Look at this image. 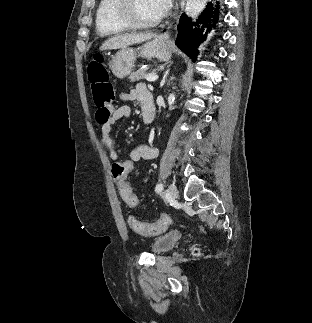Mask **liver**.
I'll return each instance as SVG.
<instances>
[{
	"mask_svg": "<svg viewBox=\"0 0 312 323\" xmlns=\"http://www.w3.org/2000/svg\"><path fill=\"white\" fill-rule=\"evenodd\" d=\"M155 38V34H117L113 38H108L102 46H100L101 52L103 50H118V48H126L131 44H141L146 40H152Z\"/></svg>",
	"mask_w": 312,
	"mask_h": 323,
	"instance_id": "6515ba94",
	"label": "liver"
}]
</instances>
